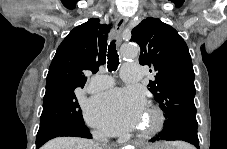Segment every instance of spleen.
I'll list each match as a JSON object with an SVG mask.
<instances>
[{"mask_svg": "<svg viewBox=\"0 0 227 149\" xmlns=\"http://www.w3.org/2000/svg\"><path fill=\"white\" fill-rule=\"evenodd\" d=\"M172 145L176 146L178 149H188L189 147L182 142H175Z\"/></svg>", "mask_w": 227, "mask_h": 149, "instance_id": "1", "label": "spleen"}]
</instances>
